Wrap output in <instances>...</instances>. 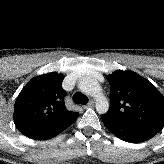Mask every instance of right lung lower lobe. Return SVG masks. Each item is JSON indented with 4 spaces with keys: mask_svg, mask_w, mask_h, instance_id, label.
I'll list each match as a JSON object with an SVG mask.
<instances>
[{
    "mask_svg": "<svg viewBox=\"0 0 164 164\" xmlns=\"http://www.w3.org/2000/svg\"><path fill=\"white\" fill-rule=\"evenodd\" d=\"M78 116L79 115L72 116L54 126L35 132L27 137L34 140H47L53 138L69 127L78 118Z\"/></svg>",
    "mask_w": 164,
    "mask_h": 164,
    "instance_id": "1",
    "label": "right lung lower lobe"
}]
</instances>
